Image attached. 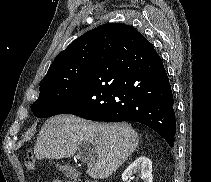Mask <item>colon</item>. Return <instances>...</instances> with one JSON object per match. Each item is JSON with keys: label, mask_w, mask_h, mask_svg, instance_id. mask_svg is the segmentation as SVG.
<instances>
[{"label": "colon", "mask_w": 211, "mask_h": 182, "mask_svg": "<svg viewBox=\"0 0 211 182\" xmlns=\"http://www.w3.org/2000/svg\"><path fill=\"white\" fill-rule=\"evenodd\" d=\"M25 164H26V167L29 170H34L35 169L36 159H35V156L33 155V153H29L26 156ZM55 182H61V181H55ZM68 182H89V181H87V180H74V181H68Z\"/></svg>", "instance_id": "1"}]
</instances>
